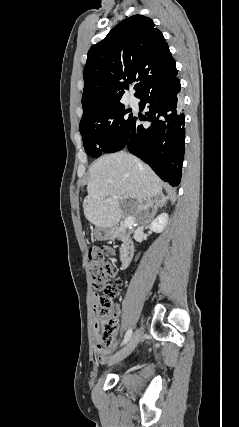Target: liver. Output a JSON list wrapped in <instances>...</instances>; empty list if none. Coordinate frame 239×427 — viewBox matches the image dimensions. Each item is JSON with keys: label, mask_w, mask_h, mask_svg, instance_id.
<instances>
[{"label": "liver", "mask_w": 239, "mask_h": 427, "mask_svg": "<svg viewBox=\"0 0 239 427\" xmlns=\"http://www.w3.org/2000/svg\"><path fill=\"white\" fill-rule=\"evenodd\" d=\"M162 181L137 157L117 152L103 155L89 167L88 195L83 201L86 219L96 227L113 228L125 216H137L155 203L163 204ZM136 199L135 212H124L121 204ZM154 198V201H153Z\"/></svg>", "instance_id": "obj_1"}]
</instances>
